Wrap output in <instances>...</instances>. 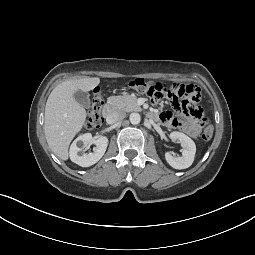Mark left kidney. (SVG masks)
<instances>
[{"label":"left kidney","instance_id":"5707ae66","mask_svg":"<svg viewBox=\"0 0 255 255\" xmlns=\"http://www.w3.org/2000/svg\"><path fill=\"white\" fill-rule=\"evenodd\" d=\"M170 138L173 141H179L182 146V156L174 157L169 152L165 153L167 163L174 169H186L190 167L194 161L196 153V145L194 141L181 132H171Z\"/></svg>","mask_w":255,"mask_h":255}]
</instances>
